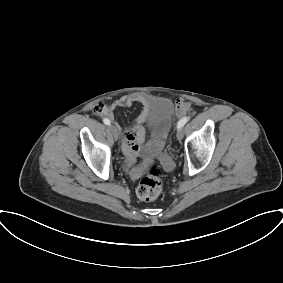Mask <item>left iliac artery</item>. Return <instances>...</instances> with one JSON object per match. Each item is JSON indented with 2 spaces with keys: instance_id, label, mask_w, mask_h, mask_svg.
<instances>
[{
  "instance_id": "1",
  "label": "left iliac artery",
  "mask_w": 283,
  "mask_h": 283,
  "mask_svg": "<svg viewBox=\"0 0 283 283\" xmlns=\"http://www.w3.org/2000/svg\"><path fill=\"white\" fill-rule=\"evenodd\" d=\"M188 120H189V117H184L180 119V121L177 124V128L181 129L187 123Z\"/></svg>"
}]
</instances>
